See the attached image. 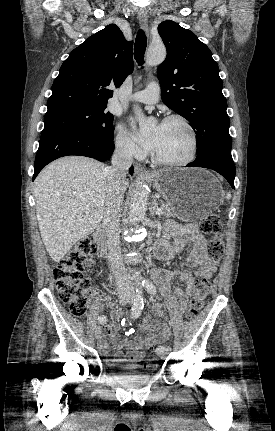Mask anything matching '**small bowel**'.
I'll list each match as a JSON object with an SVG mask.
<instances>
[{
	"instance_id": "obj_1",
	"label": "small bowel",
	"mask_w": 275,
	"mask_h": 431,
	"mask_svg": "<svg viewBox=\"0 0 275 431\" xmlns=\"http://www.w3.org/2000/svg\"><path fill=\"white\" fill-rule=\"evenodd\" d=\"M165 233L173 241L159 239L156 242L155 252L160 260L170 261L176 255L187 252L183 262L174 271L165 273L168 278L175 277L185 284V289H176L173 293L177 306L172 307L167 303L156 304L153 307V314L165 319V322L151 316L147 317L139 327L136 337L130 341L119 340L120 312L114 311L111 323L106 326L105 333L98 341V347L106 357L110 356V341L127 350L126 355L121 351L115 354L116 358L126 360H136L147 347L152 348L167 341L171 336L170 327L166 323L169 315L186 309L188 298L195 293V282L198 276L211 277L215 272V261L206 252V237L196 224H178L175 221H168L165 225ZM183 268L186 269L183 270Z\"/></svg>"
}]
</instances>
